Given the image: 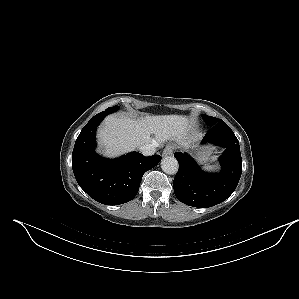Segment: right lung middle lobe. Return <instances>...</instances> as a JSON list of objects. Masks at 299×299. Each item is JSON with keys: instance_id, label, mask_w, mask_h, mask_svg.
I'll return each mask as SVG.
<instances>
[{"instance_id": "right-lung-middle-lobe-1", "label": "right lung middle lobe", "mask_w": 299, "mask_h": 299, "mask_svg": "<svg viewBox=\"0 0 299 299\" xmlns=\"http://www.w3.org/2000/svg\"><path fill=\"white\" fill-rule=\"evenodd\" d=\"M118 108H119V106H113V107H109V108H107L106 110H110V111H112V112H115V111L118 110Z\"/></svg>"}]
</instances>
